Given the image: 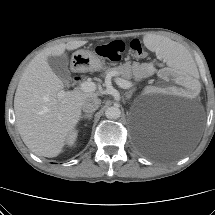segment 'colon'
I'll list each match as a JSON object with an SVG mask.
<instances>
[{"label":"colon","instance_id":"1","mask_svg":"<svg viewBox=\"0 0 215 215\" xmlns=\"http://www.w3.org/2000/svg\"><path fill=\"white\" fill-rule=\"evenodd\" d=\"M130 49L137 57H143L145 55V50L139 39H133L130 42ZM125 50V43L120 40L112 41L107 44L100 45L96 48L98 55L108 58L112 61H118L121 58V54Z\"/></svg>","mask_w":215,"mask_h":215}]
</instances>
